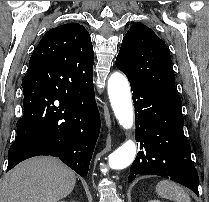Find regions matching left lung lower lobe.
<instances>
[{
    "instance_id": "left-lung-lower-lobe-1",
    "label": "left lung lower lobe",
    "mask_w": 209,
    "mask_h": 202,
    "mask_svg": "<svg viewBox=\"0 0 209 202\" xmlns=\"http://www.w3.org/2000/svg\"><path fill=\"white\" fill-rule=\"evenodd\" d=\"M135 107L136 141L140 152L128 182L137 176L157 175L190 188L199 196V177L183 132L182 102L178 95L129 81Z\"/></svg>"
}]
</instances>
